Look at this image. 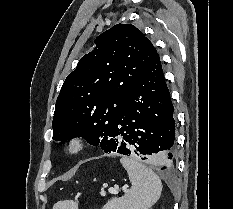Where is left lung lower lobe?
<instances>
[{"mask_svg":"<svg viewBox=\"0 0 233 209\" xmlns=\"http://www.w3.org/2000/svg\"><path fill=\"white\" fill-rule=\"evenodd\" d=\"M159 55L153 58L130 92L122 113L101 146L105 153L136 155L170 167L174 158L175 120Z\"/></svg>","mask_w":233,"mask_h":209,"instance_id":"1","label":"left lung lower lobe"}]
</instances>
